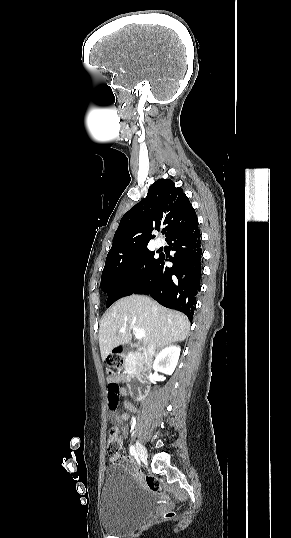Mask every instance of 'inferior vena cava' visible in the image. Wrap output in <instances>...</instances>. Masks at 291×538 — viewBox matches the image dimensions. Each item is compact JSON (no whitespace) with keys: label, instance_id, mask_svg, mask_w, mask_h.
<instances>
[{"label":"inferior vena cava","instance_id":"obj_1","mask_svg":"<svg viewBox=\"0 0 291 538\" xmlns=\"http://www.w3.org/2000/svg\"><path fill=\"white\" fill-rule=\"evenodd\" d=\"M147 350H148L149 358L151 359L152 356H153L154 353H155V344H154L153 342H151V343L148 345Z\"/></svg>","mask_w":291,"mask_h":538}]
</instances>
